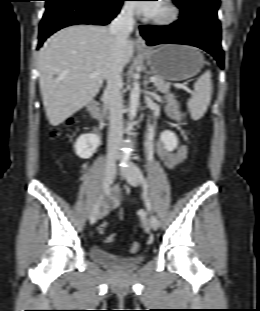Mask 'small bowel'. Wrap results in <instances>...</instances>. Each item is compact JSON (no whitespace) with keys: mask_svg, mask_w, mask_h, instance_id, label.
<instances>
[{"mask_svg":"<svg viewBox=\"0 0 260 311\" xmlns=\"http://www.w3.org/2000/svg\"><path fill=\"white\" fill-rule=\"evenodd\" d=\"M166 115L172 122L179 123L181 121V112L178 103L172 96L167 97ZM157 154L162 163L167 168L172 169L186 158L187 147L181 145L176 150H170L162 143H158ZM120 205L121 193L118 185H115L105 201L103 213L107 214L109 211L119 208Z\"/></svg>","mask_w":260,"mask_h":311,"instance_id":"1","label":"small bowel"}]
</instances>
